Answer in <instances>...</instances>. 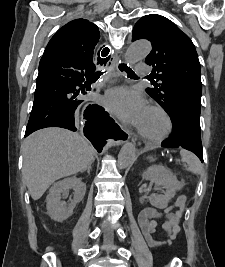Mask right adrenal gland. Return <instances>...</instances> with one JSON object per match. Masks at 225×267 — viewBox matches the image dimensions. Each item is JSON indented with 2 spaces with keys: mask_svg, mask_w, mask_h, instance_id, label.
I'll return each instance as SVG.
<instances>
[{
  "mask_svg": "<svg viewBox=\"0 0 225 267\" xmlns=\"http://www.w3.org/2000/svg\"><path fill=\"white\" fill-rule=\"evenodd\" d=\"M93 162H94V159H93L92 163H93ZM92 163L89 164V165L87 166V168H86L85 170H83L82 172L87 171V173L90 175V172H91V169H92Z\"/></svg>",
  "mask_w": 225,
  "mask_h": 267,
  "instance_id": "1",
  "label": "right adrenal gland"
}]
</instances>
